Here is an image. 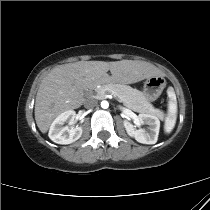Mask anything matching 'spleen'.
I'll use <instances>...</instances> for the list:
<instances>
[{"label":"spleen","mask_w":210,"mask_h":210,"mask_svg":"<svg viewBox=\"0 0 210 210\" xmlns=\"http://www.w3.org/2000/svg\"><path fill=\"white\" fill-rule=\"evenodd\" d=\"M167 94L169 101H168L167 116L165 118V123H164V131L165 133L169 134L173 130L177 119V100L173 88H169Z\"/></svg>","instance_id":"1"}]
</instances>
